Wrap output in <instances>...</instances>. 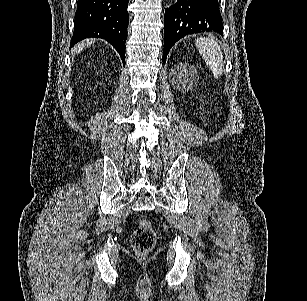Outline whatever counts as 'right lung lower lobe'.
Returning <instances> with one entry per match:
<instances>
[{
    "label": "right lung lower lobe",
    "instance_id": "1",
    "mask_svg": "<svg viewBox=\"0 0 307 301\" xmlns=\"http://www.w3.org/2000/svg\"><path fill=\"white\" fill-rule=\"evenodd\" d=\"M129 0H78L72 47L85 38L109 42L125 63Z\"/></svg>",
    "mask_w": 307,
    "mask_h": 301
}]
</instances>
